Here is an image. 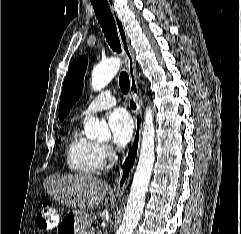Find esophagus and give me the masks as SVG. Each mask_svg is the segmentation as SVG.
<instances>
[{"instance_id":"1","label":"esophagus","mask_w":241,"mask_h":234,"mask_svg":"<svg viewBox=\"0 0 241 234\" xmlns=\"http://www.w3.org/2000/svg\"><path fill=\"white\" fill-rule=\"evenodd\" d=\"M107 1L111 8V12L116 24L120 44L126 58V66H127V71H128L129 80H130V94L136 106L133 110L135 126H134L132 142L129 150L126 153L123 163L120 166L119 171L117 172L115 184L112 189L113 194L122 195L129 184L132 172L135 168L137 158L139 155L141 131H142V119H141V112L139 109V96H138L139 91H138V85H137V79H136V62H135L134 54L129 44L128 36L124 28L123 22L118 17L114 9L113 0H107Z\"/></svg>"}]
</instances>
